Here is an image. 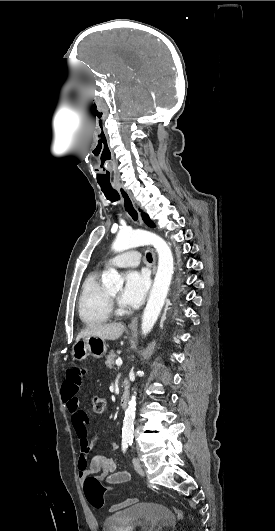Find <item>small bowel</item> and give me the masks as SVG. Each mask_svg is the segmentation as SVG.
<instances>
[{"label":"small bowel","mask_w":275,"mask_h":531,"mask_svg":"<svg viewBox=\"0 0 275 531\" xmlns=\"http://www.w3.org/2000/svg\"><path fill=\"white\" fill-rule=\"evenodd\" d=\"M64 374L68 377V381L63 383L62 398L70 413L72 428L80 440L81 451L77 458L79 479L84 480V473L86 471H95L99 477L105 481L112 480L113 483H119V485L127 483L130 480V474L127 471L118 470L114 458L97 454L89 461V455L99 441L100 436L98 433H95L91 440L87 439L89 418L87 413L80 408L77 397V394L80 392V374H87V371H78L75 367H68L65 369ZM116 448L117 445L115 443L110 444V449L112 451L116 450ZM134 503L135 500L133 499L115 503L110 506L109 511L118 512L128 508Z\"/></svg>","instance_id":"1"}]
</instances>
